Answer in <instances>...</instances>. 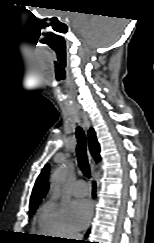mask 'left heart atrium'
<instances>
[{
	"label": "left heart atrium",
	"mask_w": 154,
	"mask_h": 243,
	"mask_svg": "<svg viewBox=\"0 0 154 243\" xmlns=\"http://www.w3.org/2000/svg\"><path fill=\"white\" fill-rule=\"evenodd\" d=\"M92 214V206L89 200L79 199L69 207V218L72 225L80 230L85 228Z\"/></svg>",
	"instance_id": "left-heart-atrium-1"
}]
</instances>
